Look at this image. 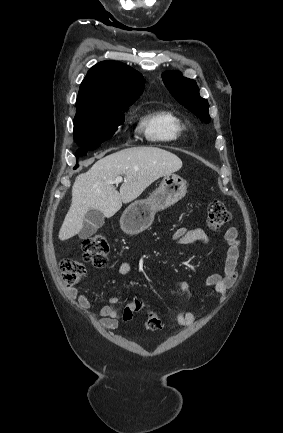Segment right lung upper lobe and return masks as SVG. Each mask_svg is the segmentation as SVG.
I'll list each match as a JSON object with an SVG mask.
<instances>
[{
    "instance_id": "cb5924a9",
    "label": "right lung upper lobe",
    "mask_w": 283,
    "mask_h": 433,
    "mask_svg": "<svg viewBox=\"0 0 283 433\" xmlns=\"http://www.w3.org/2000/svg\"><path fill=\"white\" fill-rule=\"evenodd\" d=\"M143 76L118 61H102L93 66L82 81L77 111L130 106L142 94Z\"/></svg>"
}]
</instances>
